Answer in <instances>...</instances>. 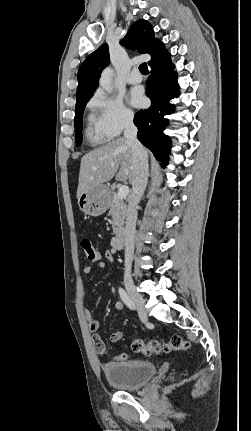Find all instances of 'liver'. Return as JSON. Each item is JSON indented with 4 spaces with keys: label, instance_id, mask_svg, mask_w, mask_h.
<instances>
[{
    "label": "liver",
    "instance_id": "6515ba94",
    "mask_svg": "<svg viewBox=\"0 0 251 431\" xmlns=\"http://www.w3.org/2000/svg\"><path fill=\"white\" fill-rule=\"evenodd\" d=\"M145 152L148 160L149 152L147 149ZM134 174L132 147L125 138H117L81 158L77 198L90 188L110 181L115 175L117 181L129 180L132 184Z\"/></svg>",
    "mask_w": 251,
    "mask_h": 431
}]
</instances>
